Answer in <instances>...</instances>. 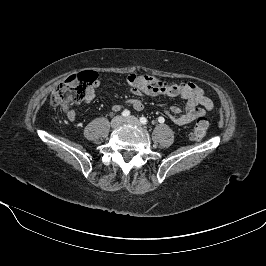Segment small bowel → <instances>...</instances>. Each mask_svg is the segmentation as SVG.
<instances>
[{"mask_svg":"<svg viewBox=\"0 0 266 266\" xmlns=\"http://www.w3.org/2000/svg\"><path fill=\"white\" fill-rule=\"evenodd\" d=\"M126 83L130 91L138 97L142 95H161L179 97L186 100L184 108L173 105L166 111L167 116L176 126L190 124L197 119L203 118L207 112L213 109L211 99L205 95L200 87L191 82L170 84L156 76L131 73L127 76ZM98 86L99 81H95L93 85L88 88L85 98L86 103H90L95 99V88ZM125 106L140 111L143 109L144 104L139 98H130L127 99L124 104H113L112 110L119 111ZM65 112L70 121L75 120L76 111L74 109H66Z\"/></svg>","mask_w":266,"mask_h":266,"instance_id":"1","label":"small bowel"}]
</instances>
